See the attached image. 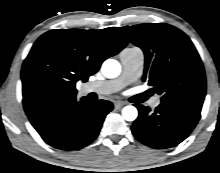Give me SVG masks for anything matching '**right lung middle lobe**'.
Instances as JSON below:
<instances>
[{
    "instance_id": "right-lung-middle-lobe-1",
    "label": "right lung middle lobe",
    "mask_w": 220,
    "mask_h": 173,
    "mask_svg": "<svg viewBox=\"0 0 220 173\" xmlns=\"http://www.w3.org/2000/svg\"><path fill=\"white\" fill-rule=\"evenodd\" d=\"M24 108H25V111L27 114L37 110V108H34L33 107V104L32 103H28L27 105H24ZM39 109V108H38Z\"/></svg>"
}]
</instances>
